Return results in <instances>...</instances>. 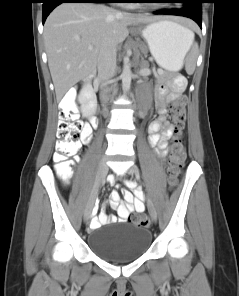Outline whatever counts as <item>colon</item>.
I'll use <instances>...</instances> for the list:
<instances>
[{"label": "colon", "mask_w": 239, "mask_h": 296, "mask_svg": "<svg viewBox=\"0 0 239 296\" xmlns=\"http://www.w3.org/2000/svg\"><path fill=\"white\" fill-rule=\"evenodd\" d=\"M168 116L175 128L171 152L169 156L168 183L170 187H175L181 173L185 160V146L182 138V128L186 116V100L180 97L174 101L168 109ZM81 124L75 120V104L72 98L66 99L61 106L58 122V140L56 142V170L62 179H67L70 175L72 163L70 157L73 156L80 147L79 134ZM132 222L138 226H147L148 216L144 213H137L132 216Z\"/></svg>", "instance_id": "5ec220e1"}]
</instances>
